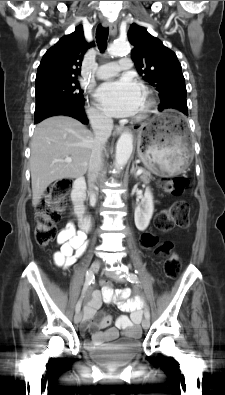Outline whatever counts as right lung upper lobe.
Instances as JSON below:
<instances>
[{
    "label": "right lung upper lobe",
    "mask_w": 225,
    "mask_h": 395,
    "mask_svg": "<svg viewBox=\"0 0 225 395\" xmlns=\"http://www.w3.org/2000/svg\"><path fill=\"white\" fill-rule=\"evenodd\" d=\"M93 45L85 41L82 25L77 26L73 33L62 37L44 54L38 67L36 85L77 79L83 56Z\"/></svg>",
    "instance_id": "cb5924a9"
}]
</instances>
